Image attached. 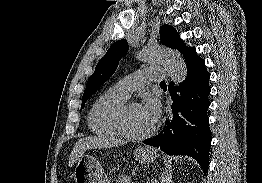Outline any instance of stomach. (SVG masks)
<instances>
[{"label":"stomach","instance_id":"stomach-1","mask_svg":"<svg viewBox=\"0 0 262 183\" xmlns=\"http://www.w3.org/2000/svg\"><path fill=\"white\" fill-rule=\"evenodd\" d=\"M136 161L140 164H149L156 157V151L149 147H139L134 152ZM75 183H110V179L104 172L101 164L92 155H83L75 166Z\"/></svg>","mask_w":262,"mask_h":183}]
</instances>
